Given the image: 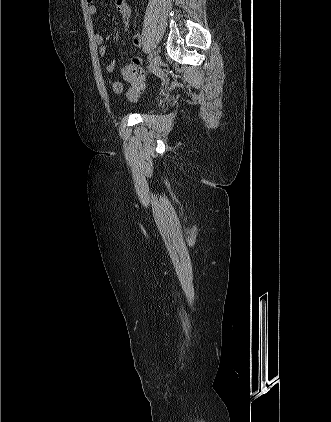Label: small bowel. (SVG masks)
<instances>
[{
    "label": "small bowel",
    "mask_w": 331,
    "mask_h": 422,
    "mask_svg": "<svg viewBox=\"0 0 331 422\" xmlns=\"http://www.w3.org/2000/svg\"><path fill=\"white\" fill-rule=\"evenodd\" d=\"M88 3V12L90 15H96L98 12V7L96 0H87ZM116 10L120 13L122 21L124 24V31L128 32L130 28V18H131V8L127 3V0H115ZM110 38L109 35L104 38L101 34L96 33L94 35V41L98 46V53L101 57L105 56L107 53V43ZM134 45L140 47L142 44V38L139 34H136L133 38ZM142 63V58L140 56H135L131 59V65L138 67ZM115 68V62L112 61L106 66L107 72H112ZM130 85V92L132 96H137L144 88V76L142 78H137L133 76H125L124 81H115L112 83V91L116 94H121L125 90V86Z\"/></svg>",
    "instance_id": "c3829d8e"
}]
</instances>
